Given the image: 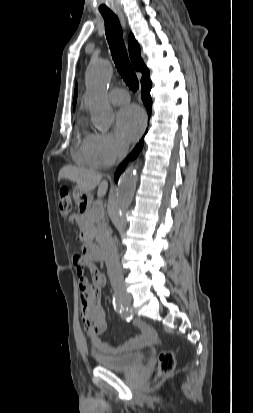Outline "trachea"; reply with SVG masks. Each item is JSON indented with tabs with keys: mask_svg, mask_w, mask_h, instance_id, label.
Returning <instances> with one entry per match:
<instances>
[{
	"mask_svg": "<svg viewBox=\"0 0 253 413\" xmlns=\"http://www.w3.org/2000/svg\"><path fill=\"white\" fill-rule=\"evenodd\" d=\"M102 16L105 21L106 38L115 66L126 85L132 91H137L139 88V81L128 58L120 22L114 14H102Z\"/></svg>",
	"mask_w": 253,
	"mask_h": 413,
	"instance_id": "obj_1",
	"label": "trachea"
}]
</instances>
